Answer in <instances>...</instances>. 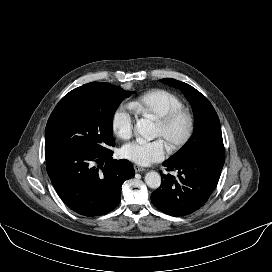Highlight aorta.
<instances>
[{"mask_svg": "<svg viewBox=\"0 0 272 272\" xmlns=\"http://www.w3.org/2000/svg\"><path fill=\"white\" fill-rule=\"evenodd\" d=\"M136 131L147 141L156 138V127L148 119H140L136 124ZM145 182L148 187L157 189L161 185V176L157 172L150 171L145 175Z\"/></svg>", "mask_w": 272, "mask_h": 272, "instance_id": "762f6f07", "label": "aorta"}]
</instances>
